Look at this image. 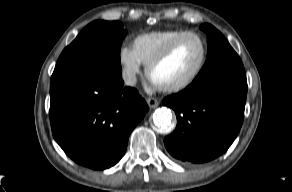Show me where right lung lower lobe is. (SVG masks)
I'll return each instance as SVG.
<instances>
[{"instance_id": "98d812e1", "label": "right lung lower lobe", "mask_w": 292, "mask_h": 192, "mask_svg": "<svg viewBox=\"0 0 292 192\" xmlns=\"http://www.w3.org/2000/svg\"><path fill=\"white\" fill-rule=\"evenodd\" d=\"M121 73L91 62H57L50 84V122L56 142L76 163L94 170L115 165L148 111Z\"/></svg>"}]
</instances>
